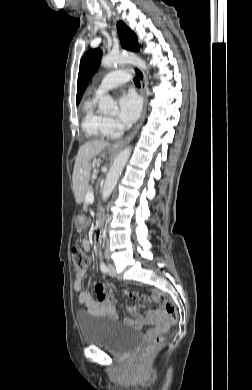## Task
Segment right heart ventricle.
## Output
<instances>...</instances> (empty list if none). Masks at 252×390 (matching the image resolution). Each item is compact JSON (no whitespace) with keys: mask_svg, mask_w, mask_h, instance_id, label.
Returning <instances> with one entry per match:
<instances>
[{"mask_svg":"<svg viewBox=\"0 0 252 390\" xmlns=\"http://www.w3.org/2000/svg\"><path fill=\"white\" fill-rule=\"evenodd\" d=\"M82 128L91 139L99 140L111 136L106 129V117L95 109L94 100L86 101L83 106Z\"/></svg>","mask_w":252,"mask_h":390,"instance_id":"1","label":"right heart ventricle"}]
</instances>
